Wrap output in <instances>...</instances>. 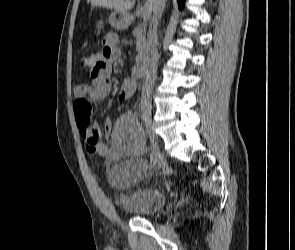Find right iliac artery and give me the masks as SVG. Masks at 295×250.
<instances>
[{
	"label": "right iliac artery",
	"instance_id": "right-iliac-artery-1",
	"mask_svg": "<svg viewBox=\"0 0 295 250\" xmlns=\"http://www.w3.org/2000/svg\"><path fill=\"white\" fill-rule=\"evenodd\" d=\"M149 151H150V167H153L155 165V163H156V156L153 153L154 148L150 147Z\"/></svg>",
	"mask_w": 295,
	"mask_h": 250
}]
</instances>
